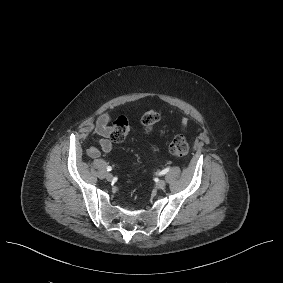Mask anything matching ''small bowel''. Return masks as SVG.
Segmentation results:
<instances>
[{"label": "small bowel", "instance_id": "obj_1", "mask_svg": "<svg viewBox=\"0 0 283 283\" xmlns=\"http://www.w3.org/2000/svg\"><path fill=\"white\" fill-rule=\"evenodd\" d=\"M110 115L108 113L101 114L95 121L94 126V144L88 147L87 154L90 158H98L102 152H111L113 145L110 141L112 127L109 126ZM188 127V119L183 117L181 119V128L186 131Z\"/></svg>", "mask_w": 283, "mask_h": 283}]
</instances>
